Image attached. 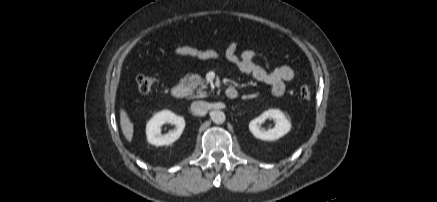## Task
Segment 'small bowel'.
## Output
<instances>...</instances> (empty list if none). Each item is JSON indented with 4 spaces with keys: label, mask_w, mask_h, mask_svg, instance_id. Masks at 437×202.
Here are the masks:
<instances>
[{
    "label": "small bowel",
    "mask_w": 437,
    "mask_h": 202,
    "mask_svg": "<svg viewBox=\"0 0 437 202\" xmlns=\"http://www.w3.org/2000/svg\"><path fill=\"white\" fill-rule=\"evenodd\" d=\"M174 55L177 57H193L200 60H214L224 56L229 62L235 64L241 73L252 77L257 82L269 85L272 94L276 97L284 95L286 83L294 78L293 69L287 65L279 66L273 70H266L256 65L253 62L256 51L247 48L239 53L236 42H231L224 50L180 46L174 50Z\"/></svg>",
    "instance_id": "obj_1"
}]
</instances>
